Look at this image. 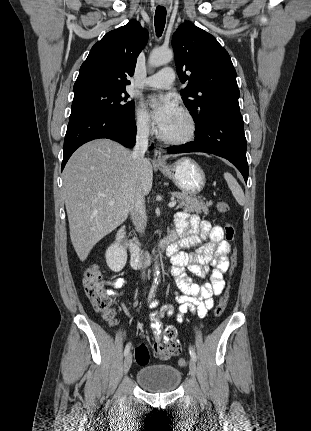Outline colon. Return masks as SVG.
Instances as JSON below:
<instances>
[{
    "label": "colon",
    "instance_id": "5ec220e1",
    "mask_svg": "<svg viewBox=\"0 0 311 431\" xmlns=\"http://www.w3.org/2000/svg\"><path fill=\"white\" fill-rule=\"evenodd\" d=\"M217 209L226 214L230 210V206L225 201H218ZM224 235L227 242L234 244L236 228L231 222H226L224 225ZM238 265L237 252L234 249L230 257L229 274L233 275ZM83 285L87 297L91 301L95 311L101 315V317L113 324L116 322V309L112 303V300L106 294L102 283V274L98 265H93L87 268L83 274ZM231 291V285L228 283L222 296L219 299L218 304L215 307L214 315L219 317L226 309L229 301ZM154 353L161 359H168L173 355L177 354L180 350V345L176 341L167 339L157 340L153 345ZM135 359L137 364L146 365L149 361V351L145 344H140L135 351ZM180 366H186L187 362L181 358L178 361Z\"/></svg>",
    "mask_w": 311,
    "mask_h": 431
}]
</instances>
